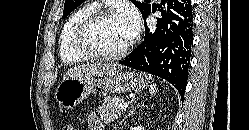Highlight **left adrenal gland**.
<instances>
[{"instance_id":"1","label":"left adrenal gland","mask_w":249,"mask_h":130,"mask_svg":"<svg viewBox=\"0 0 249 130\" xmlns=\"http://www.w3.org/2000/svg\"><path fill=\"white\" fill-rule=\"evenodd\" d=\"M144 106V104H137V106L135 108H133L120 122L119 125L122 124V122H124V120H126L129 116H131L133 114V112L137 109Z\"/></svg>"}]
</instances>
